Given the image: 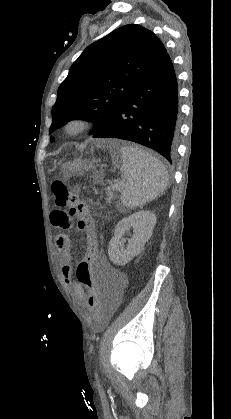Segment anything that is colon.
<instances>
[{"instance_id": "obj_1", "label": "colon", "mask_w": 231, "mask_h": 419, "mask_svg": "<svg viewBox=\"0 0 231 419\" xmlns=\"http://www.w3.org/2000/svg\"><path fill=\"white\" fill-rule=\"evenodd\" d=\"M51 190L59 207H68L71 217L78 219V228L87 233V243L81 254L79 263L76 265L74 278L80 282L87 296L85 302L90 304L91 311L98 322L102 319L101 298L103 296L101 284H98L95 273H92L93 265L100 255L99 245L93 235V220L86 203L76 192L62 181L56 180L51 184Z\"/></svg>"}]
</instances>
